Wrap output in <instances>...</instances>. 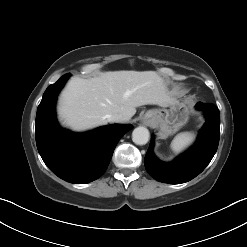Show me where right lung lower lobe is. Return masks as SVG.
<instances>
[{
	"instance_id": "1",
	"label": "right lung lower lobe",
	"mask_w": 247,
	"mask_h": 247,
	"mask_svg": "<svg viewBox=\"0 0 247 247\" xmlns=\"http://www.w3.org/2000/svg\"><path fill=\"white\" fill-rule=\"evenodd\" d=\"M69 76L63 75L44 92L37 109L35 137L39 154L54 174L83 184L104 174L118 141L132 126L110 125L84 134L63 130L56 121L55 102Z\"/></svg>"
}]
</instances>
